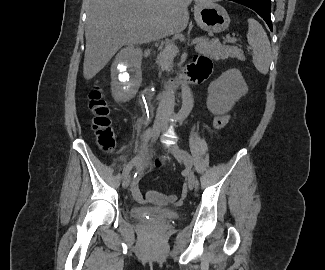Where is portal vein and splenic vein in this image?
<instances>
[{
  "label": "portal vein and splenic vein",
  "instance_id": "portal-vein-and-splenic-vein-1",
  "mask_svg": "<svg viewBox=\"0 0 325 270\" xmlns=\"http://www.w3.org/2000/svg\"><path fill=\"white\" fill-rule=\"evenodd\" d=\"M237 41V39L235 38H231V39H228L227 42H230V43H235ZM198 43V39H194L192 41V44H197Z\"/></svg>",
  "mask_w": 325,
  "mask_h": 270
}]
</instances>
